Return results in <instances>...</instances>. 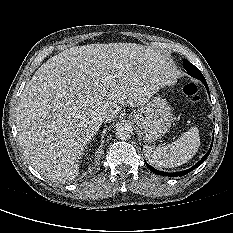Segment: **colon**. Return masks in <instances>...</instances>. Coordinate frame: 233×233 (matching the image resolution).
I'll use <instances>...</instances> for the list:
<instances>
[{"label":"colon","instance_id":"obj_1","mask_svg":"<svg viewBox=\"0 0 233 233\" xmlns=\"http://www.w3.org/2000/svg\"><path fill=\"white\" fill-rule=\"evenodd\" d=\"M182 91L192 102H198L200 100L198 88L195 84L193 83L185 84L183 86Z\"/></svg>","mask_w":233,"mask_h":233}]
</instances>
